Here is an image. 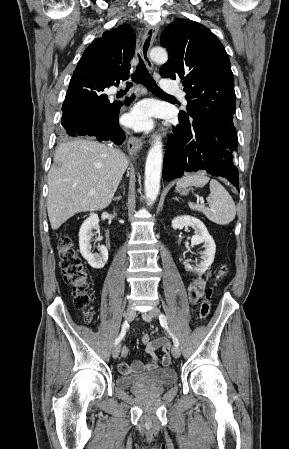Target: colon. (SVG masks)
<instances>
[{
    "label": "colon",
    "instance_id": "5ec220e1",
    "mask_svg": "<svg viewBox=\"0 0 289 449\" xmlns=\"http://www.w3.org/2000/svg\"><path fill=\"white\" fill-rule=\"evenodd\" d=\"M58 256L60 259V267L62 269L65 282L71 286L74 295V304L77 308L83 311L84 321L89 322L92 317V312L89 307L90 297L88 294V274L83 266L78 252L67 235L60 238L58 243ZM229 272L227 264L222 265L216 274L215 283L225 277ZM215 283L208 287L205 292L203 301L199 307V316L205 320L210 314V299L214 291ZM150 339L149 335L142 336V342H147ZM164 353V352H163Z\"/></svg>",
    "mask_w": 289,
    "mask_h": 449
}]
</instances>
